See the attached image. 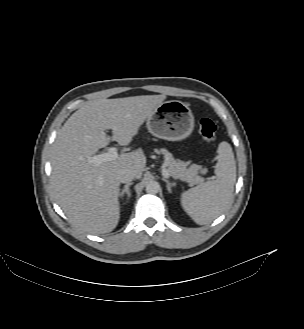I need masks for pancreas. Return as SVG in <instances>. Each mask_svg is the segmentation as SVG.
I'll list each match as a JSON object with an SVG mask.
<instances>
[{
    "instance_id": "obj_1",
    "label": "pancreas",
    "mask_w": 304,
    "mask_h": 329,
    "mask_svg": "<svg viewBox=\"0 0 304 329\" xmlns=\"http://www.w3.org/2000/svg\"><path fill=\"white\" fill-rule=\"evenodd\" d=\"M156 153L164 156V168L174 179L187 182L190 186L200 184L204 181L199 174L207 173V168L192 164L188 166L186 162L176 160L166 149L155 150Z\"/></svg>"
}]
</instances>
